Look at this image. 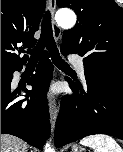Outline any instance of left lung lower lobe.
I'll return each instance as SVG.
<instances>
[{"label": "left lung lower lobe", "mask_w": 123, "mask_h": 152, "mask_svg": "<svg viewBox=\"0 0 123 152\" xmlns=\"http://www.w3.org/2000/svg\"><path fill=\"white\" fill-rule=\"evenodd\" d=\"M63 55L70 52L61 47ZM86 88L65 78L74 95L61 102L54 140L61 147L85 136L107 134L123 140V75L87 71Z\"/></svg>", "instance_id": "left-lung-lower-lobe-1"}]
</instances>
